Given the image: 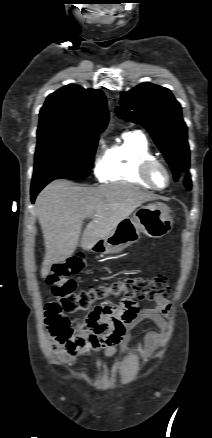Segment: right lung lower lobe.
<instances>
[{
	"label": "right lung lower lobe",
	"mask_w": 212,
	"mask_h": 438,
	"mask_svg": "<svg viewBox=\"0 0 212 438\" xmlns=\"http://www.w3.org/2000/svg\"><path fill=\"white\" fill-rule=\"evenodd\" d=\"M52 178H46L41 180L32 181L31 185V201L32 203L35 201L37 194L42 190V188L51 182Z\"/></svg>",
	"instance_id": "obj_1"
}]
</instances>
